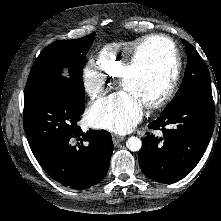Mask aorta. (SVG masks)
<instances>
[{
  "label": "aorta",
  "mask_w": 221,
  "mask_h": 221,
  "mask_svg": "<svg viewBox=\"0 0 221 221\" xmlns=\"http://www.w3.org/2000/svg\"><path fill=\"white\" fill-rule=\"evenodd\" d=\"M126 146L130 151H139L142 147V142L138 137L132 136L126 141Z\"/></svg>",
  "instance_id": "aorta-1"
}]
</instances>
